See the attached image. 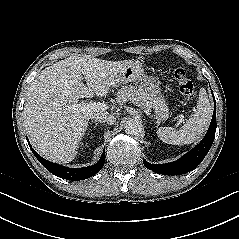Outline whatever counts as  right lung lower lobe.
Masks as SVG:
<instances>
[{"label": "right lung lower lobe", "instance_id": "right-lung-lower-lobe-1", "mask_svg": "<svg viewBox=\"0 0 239 239\" xmlns=\"http://www.w3.org/2000/svg\"><path fill=\"white\" fill-rule=\"evenodd\" d=\"M27 141H28V139H27ZM28 144L30 146L29 141H28ZM30 149L32 150L35 157L39 160V162L49 172H51L52 174H54L60 178L67 179V180H73V181L84 180V179H87V178L95 175L97 172L100 171V169H102V167L104 165V160H105L104 159L105 150H104L100 160L96 164L89 166V167H84V168H68V167L47 161L46 159H44L40 155H38L31 146H30Z\"/></svg>", "mask_w": 239, "mask_h": 239}]
</instances>
